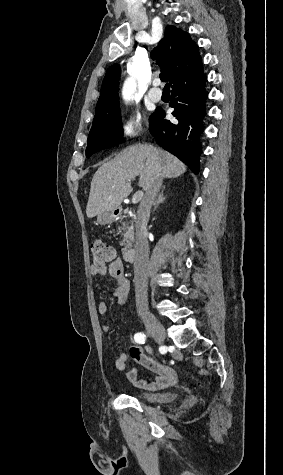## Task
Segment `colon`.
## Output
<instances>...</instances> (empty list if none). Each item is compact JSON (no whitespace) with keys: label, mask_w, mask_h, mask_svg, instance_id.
Here are the masks:
<instances>
[{"label":"colon","mask_w":283,"mask_h":475,"mask_svg":"<svg viewBox=\"0 0 283 475\" xmlns=\"http://www.w3.org/2000/svg\"><path fill=\"white\" fill-rule=\"evenodd\" d=\"M90 251L96 265H113L115 250L112 247L105 245L101 241H96L91 244Z\"/></svg>","instance_id":"5ec220e1"}]
</instances>
